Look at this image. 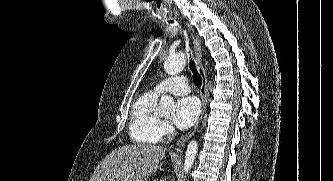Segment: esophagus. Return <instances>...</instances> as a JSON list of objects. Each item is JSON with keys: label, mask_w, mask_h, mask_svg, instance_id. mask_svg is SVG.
Masks as SVG:
<instances>
[{"label": "esophagus", "mask_w": 333, "mask_h": 181, "mask_svg": "<svg viewBox=\"0 0 333 181\" xmlns=\"http://www.w3.org/2000/svg\"><path fill=\"white\" fill-rule=\"evenodd\" d=\"M186 25H187L188 31L190 32V35H191V38L193 41V45H194V58H195L196 67L202 78V85L200 88V94H201V98H202V112H201L199 119L194 124V126L191 128V130L188 133H186L184 136H182L181 138L178 139V141L176 142L177 147L184 146V144L190 139V137L197 130V128L200 124L202 115L205 111L206 104H207V98H208L207 75H206V69L204 67L203 60H202L203 50H202V46H201V41H200L199 37L196 35L194 29L189 24H186Z\"/></svg>", "instance_id": "34e87169"}]
</instances>
